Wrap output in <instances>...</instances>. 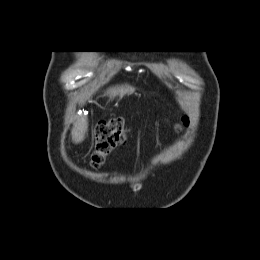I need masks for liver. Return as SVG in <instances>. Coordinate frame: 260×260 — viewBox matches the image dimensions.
<instances>
[{
  "mask_svg": "<svg viewBox=\"0 0 260 260\" xmlns=\"http://www.w3.org/2000/svg\"><path fill=\"white\" fill-rule=\"evenodd\" d=\"M127 89H111L108 91V95L111 97H115L116 95L123 96L127 93ZM88 131V119L86 116H80L76 119L73 124V128L71 131L72 141L76 144L81 143L86 136Z\"/></svg>",
  "mask_w": 260,
  "mask_h": 260,
  "instance_id": "1",
  "label": "liver"
}]
</instances>
